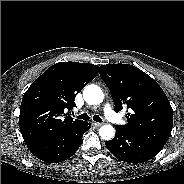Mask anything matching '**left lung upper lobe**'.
<instances>
[{
    "label": "left lung upper lobe",
    "mask_w": 184,
    "mask_h": 184,
    "mask_svg": "<svg viewBox=\"0 0 184 184\" xmlns=\"http://www.w3.org/2000/svg\"><path fill=\"white\" fill-rule=\"evenodd\" d=\"M100 77L110 90L114 110L128 109V123L117 125L162 149L173 126V110L159 84L130 64L100 66Z\"/></svg>",
    "instance_id": "left-lung-upper-lobe-1"
}]
</instances>
